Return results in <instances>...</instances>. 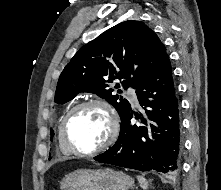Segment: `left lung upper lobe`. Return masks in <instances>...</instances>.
I'll return each instance as SVG.
<instances>
[{"mask_svg": "<svg viewBox=\"0 0 221 190\" xmlns=\"http://www.w3.org/2000/svg\"><path fill=\"white\" fill-rule=\"evenodd\" d=\"M166 55L158 36L143 22H121L79 49L59 77L54 102L63 104L80 92H92L113 105L122 119L130 103L113 95L110 83L117 79L121 84L115 88L137 89Z\"/></svg>", "mask_w": 221, "mask_h": 190, "instance_id": "1", "label": "left lung upper lobe"}]
</instances>
